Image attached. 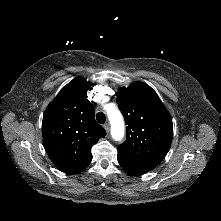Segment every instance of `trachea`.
<instances>
[{
    "label": "trachea",
    "instance_id": "obj_1",
    "mask_svg": "<svg viewBox=\"0 0 221 221\" xmlns=\"http://www.w3.org/2000/svg\"><path fill=\"white\" fill-rule=\"evenodd\" d=\"M96 120H97L98 123L104 124L105 121H106V116H105V114H104L103 112H98V113L96 114Z\"/></svg>",
    "mask_w": 221,
    "mask_h": 221
}]
</instances>
